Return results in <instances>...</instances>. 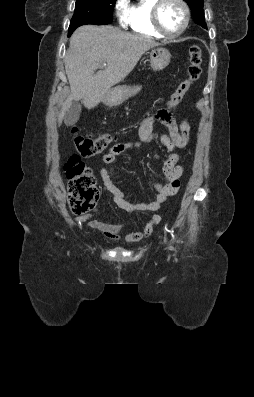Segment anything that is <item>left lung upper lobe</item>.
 Listing matches in <instances>:
<instances>
[{"label":"left lung upper lobe","mask_w":254,"mask_h":397,"mask_svg":"<svg viewBox=\"0 0 254 397\" xmlns=\"http://www.w3.org/2000/svg\"><path fill=\"white\" fill-rule=\"evenodd\" d=\"M190 6L192 11V15L194 17L195 23L207 29L205 19H204V11H203V0H184Z\"/></svg>","instance_id":"obj_1"}]
</instances>
